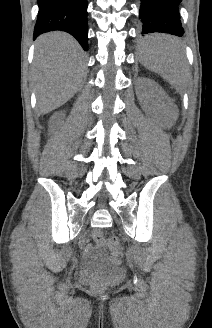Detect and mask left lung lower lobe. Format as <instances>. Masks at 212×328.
<instances>
[{"label":"left lung lower lobe","instance_id":"left-lung-lower-lobe-1","mask_svg":"<svg viewBox=\"0 0 212 328\" xmlns=\"http://www.w3.org/2000/svg\"><path fill=\"white\" fill-rule=\"evenodd\" d=\"M139 19L143 23V36L150 33H169L182 36L179 5L182 0H140ZM149 38V37H148ZM148 38L143 44L148 45Z\"/></svg>","mask_w":212,"mask_h":328}]
</instances>
